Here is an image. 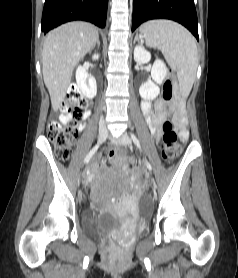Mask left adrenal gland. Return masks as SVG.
I'll return each mask as SVG.
<instances>
[{"instance_id": "a2214340", "label": "left adrenal gland", "mask_w": 238, "mask_h": 278, "mask_svg": "<svg viewBox=\"0 0 238 278\" xmlns=\"http://www.w3.org/2000/svg\"><path fill=\"white\" fill-rule=\"evenodd\" d=\"M140 40H141L140 35L136 34L135 39H134V43H135L136 41L139 42Z\"/></svg>"}]
</instances>
